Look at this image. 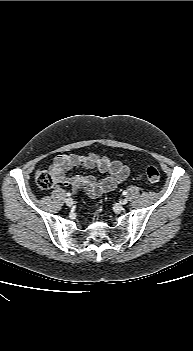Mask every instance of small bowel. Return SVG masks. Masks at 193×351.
Returning a JSON list of instances; mask_svg holds the SVG:
<instances>
[{"label":"small bowel","mask_w":193,"mask_h":351,"mask_svg":"<svg viewBox=\"0 0 193 351\" xmlns=\"http://www.w3.org/2000/svg\"><path fill=\"white\" fill-rule=\"evenodd\" d=\"M77 167L95 169L99 173L107 175L102 179H97L94 176L67 175V171ZM50 173L58 185L74 187L83 185L86 193L96 198L117 188L128 177L129 169L119 160H110L95 153L64 154L54 158Z\"/></svg>","instance_id":"obj_1"}]
</instances>
